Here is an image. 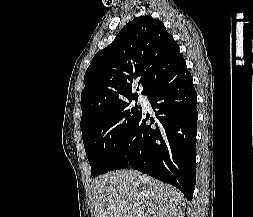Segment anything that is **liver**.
Wrapping results in <instances>:
<instances>
[{"label": "liver", "instance_id": "1", "mask_svg": "<svg viewBox=\"0 0 253 217\" xmlns=\"http://www.w3.org/2000/svg\"><path fill=\"white\" fill-rule=\"evenodd\" d=\"M94 217H183L184 195L135 170H118L93 180Z\"/></svg>", "mask_w": 253, "mask_h": 217}]
</instances>
